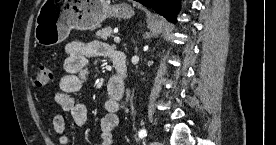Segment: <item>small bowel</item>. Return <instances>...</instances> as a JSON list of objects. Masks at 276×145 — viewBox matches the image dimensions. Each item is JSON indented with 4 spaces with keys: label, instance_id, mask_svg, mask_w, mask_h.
Segmentation results:
<instances>
[{
    "label": "small bowel",
    "instance_id": "obj_1",
    "mask_svg": "<svg viewBox=\"0 0 276 145\" xmlns=\"http://www.w3.org/2000/svg\"><path fill=\"white\" fill-rule=\"evenodd\" d=\"M66 59L64 62V75L60 82V89L55 95V102L60 109L69 112L73 122L77 126H83L87 122L88 112L85 104L77 102L73 94L78 92L85 81L89 60L94 57H113L115 51L101 41H73L65 48ZM111 80V79H110ZM107 85V98L104 103L106 115L101 121L100 145H115L114 129L119 123L118 111L124 92H120ZM53 127L59 136L61 145H70V138L65 132V118L61 114L53 117Z\"/></svg>",
    "mask_w": 276,
    "mask_h": 145
}]
</instances>
